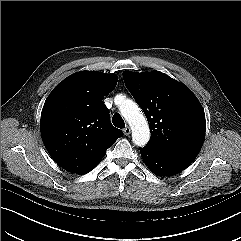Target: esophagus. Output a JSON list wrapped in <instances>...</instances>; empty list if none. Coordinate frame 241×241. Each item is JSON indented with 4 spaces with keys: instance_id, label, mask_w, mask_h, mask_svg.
<instances>
[{
    "instance_id": "34e87169",
    "label": "esophagus",
    "mask_w": 241,
    "mask_h": 241,
    "mask_svg": "<svg viewBox=\"0 0 241 241\" xmlns=\"http://www.w3.org/2000/svg\"><path fill=\"white\" fill-rule=\"evenodd\" d=\"M123 133H124V135L128 136V135L131 133L130 127L126 126V127L123 129Z\"/></svg>"
}]
</instances>
